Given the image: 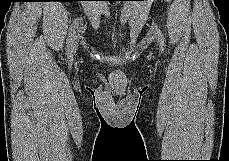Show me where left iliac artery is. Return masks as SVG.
<instances>
[{
    "label": "left iliac artery",
    "instance_id": "obj_1",
    "mask_svg": "<svg viewBox=\"0 0 229 161\" xmlns=\"http://www.w3.org/2000/svg\"><path fill=\"white\" fill-rule=\"evenodd\" d=\"M157 33H158V39L160 42V46H161L162 51H163L164 50V37H163L162 32L159 28L157 29Z\"/></svg>",
    "mask_w": 229,
    "mask_h": 161
}]
</instances>
